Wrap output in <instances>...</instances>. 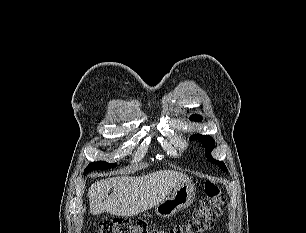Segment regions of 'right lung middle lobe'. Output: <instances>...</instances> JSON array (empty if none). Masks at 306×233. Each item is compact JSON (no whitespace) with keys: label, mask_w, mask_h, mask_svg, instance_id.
I'll list each match as a JSON object with an SVG mask.
<instances>
[{"label":"right lung middle lobe","mask_w":306,"mask_h":233,"mask_svg":"<svg viewBox=\"0 0 306 233\" xmlns=\"http://www.w3.org/2000/svg\"><path fill=\"white\" fill-rule=\"evenodd\" d=\"M116 163L92 162L84 170V176L92 170H106L115 167Z\"/></svg>","instance_id":"1"}]
</instances>
